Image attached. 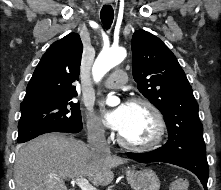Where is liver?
Here are the masks:
<instances>
[{
    "label": "liver",
    "mask_w": 221,
    "mask_h": 190,
    "mask_svg": "<svg viewBox=\"0 0 221 190\" xmlns=\"http://www.w3.org/2000/svg\"><path fill=\"white\" fill-rule=\"evenodd\" d=\"M126 162L94 154L82 141L45 134L20 146L14 166L16 190H68L65 180L83 176L96 187L106 186L114 178L112 168Z\"/></svg>",
    "instance_id": "6515ba94"
}]
</instances>
